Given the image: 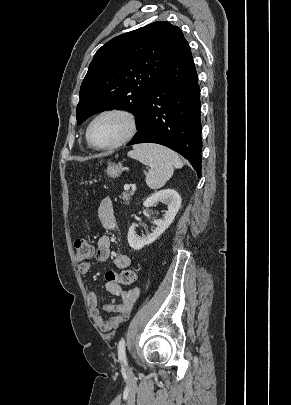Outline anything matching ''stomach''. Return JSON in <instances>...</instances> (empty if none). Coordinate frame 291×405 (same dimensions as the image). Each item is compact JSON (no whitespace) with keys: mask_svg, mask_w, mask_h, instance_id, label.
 Wrapping results in <instances>:
<instances>
[{"mask_svg":"<svg viewBox=\"0 0 291 405\" xmlns=\"http://www.w3.org/2000/svg\"><path fill=\"white\" fill-rule=\"evenodd\" d=\"M124 170L121 164H113L109 166L106 170L107 175L116 178L120 175V173Z\"/></svg>","mask_w":291,"mask_h":405,"instance_id":"1","label":"stomach"}]
</instances>
